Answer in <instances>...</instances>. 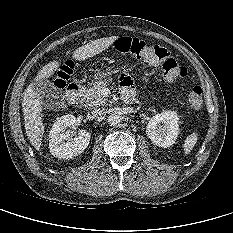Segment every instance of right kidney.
Wrapping results in <instances>:
<instances>
[{
  "instance_id": "obj_1",
  "label": "right kidney",
  "mask_w": 233,
  "mask_h": 233,
  "mask_svg": "<svg viewBox=\"0 0 233 233\" xmlns=\"http://www.w3.org/2000/svg\"><path fill=\"white\" fill-rule=\"evenodd\" d=\"M76 122V118L72 114L64 115L56 120L49 134L50 153L60 159H71L88 147L90 142V134L86 130H80L78 136L68 142L70 133L66 131L68 127H72Z\"/></svg>"
}]
</instances>
